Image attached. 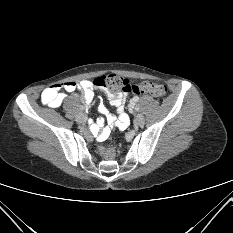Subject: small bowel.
<instances>
[{"label":"small bowel","instance_id":"1","mask_svg":"<svg viewBox=\"0 0 233 233\" xmlns=\"http://www.w3.org/2000/svg\"><path fill=\"white\" fill-rule=\"evenodd\" d=\"M108 84L103 82V77L93 80H81L79 82H65L55 84L47 87L41 94V102L43 105L51 108H58L61 106L65 99V92H73L80 89L83 93V100L87 107H89L94 100V88L103 91V96L108 98L111 105L115 107L116 114H111L104 104L100 103L98 111L101 116L97 119L96 124L92 125L90 130L93 135L97 136L100 140H104L110 134L113 127L119 130H125L129 125V117L124 109L125 96L122 92H112L108 90ZM133 98L129 103V110L134 107Z\"/></svg>","mask_w":233,"mask_h":233}]
</instances>
